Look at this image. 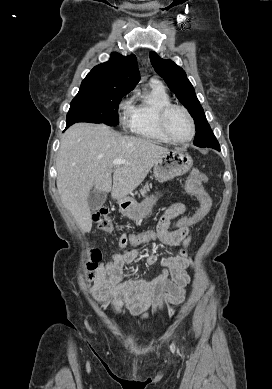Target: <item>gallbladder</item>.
I'll list each match as a JSON object with an SVG mask.
<instances>
[{"label":"gallbladder","mask_w":272,"mask_h":389,"mask_svg":"<svg viewBox=\"0 0 272 389\" xmlns=\"http://www.w3.org/2000/svg\"><path fill=\"white\" fill-rule=\"evenodd\" d=\"M107 194L98 190H91L88 196V206L92 212L99 210L105 203Z\"/></svg>","instance_id":"bac80fb5"}]
</instances>
